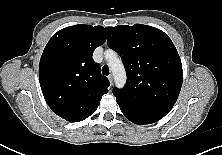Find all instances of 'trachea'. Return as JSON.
<instances>
[{"instance_id": "obj_1", "label": "trachea", "mask_w": 222, "mask_h": 155, "mask_svg": "<svg viewBox=\"0 0 222 155\" xmlns=\"http://www.w3.org/2000/svg\"><path fill=\"white\" fill-rule=\"evenodd\" d=\"M102 73L106 76L109 75V67L108 66H103L102 67Z\"/></svg>"}]
</instances>
